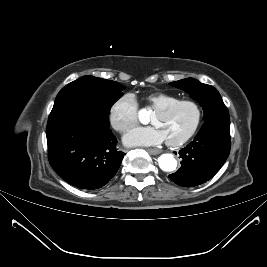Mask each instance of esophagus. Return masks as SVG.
Here are the masks:
<instances>
[{"instance_id": "34e87169", "label": "esophagus", "mask_w": 267, "mask_h": 267, "mask_svg": "<svg viewBox=\"0 0 267 267\" xmlns=\"http://www.w3.org/2000/svg\"><path fill=\"white\" fill-rule=\"evenodd\" d=\"M147 150V152H149L150 154H152V155H158L160 152H161V150H159V149H146Z\"/></svg>"}]
</instances>
